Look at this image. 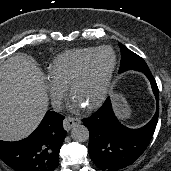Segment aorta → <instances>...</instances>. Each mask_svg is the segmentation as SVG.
<instances>
[{"label": "aorta", "mask_w": 171, "mask_h": 171, "mask_svg": "<svg viewBox=\"0 0 171 171\" xmlns=\"http://www.w3.org/2000/svg\"><path fill=\"white\" fill-rule=\"evenodd\" d=\"M71 137L76 142H86L89 139V129L83 124H76L71 130Z\"/></svg>", "instance_id": "obj_1"}]
</instances>
